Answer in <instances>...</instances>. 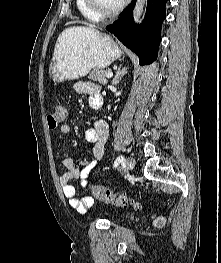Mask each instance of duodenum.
Listing matches in <instances>:
<instances>
[{
    "instance_id": "duodenum-1",
    "label": "duodenum",
    "mask_w": 221,
    "mask_h": 263,
    "mask_svg": "<svg viewBox=\"0 0 221 263\" xmlns=\"http://www.w3.org/2000/svg\"><path fill=\"white\" fill-rule=\"evenodd\" d=\"M102 103L97 104L94 108L99 109L101 107Z\"/></svg>"
}]
</instances>
